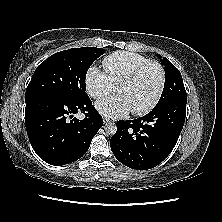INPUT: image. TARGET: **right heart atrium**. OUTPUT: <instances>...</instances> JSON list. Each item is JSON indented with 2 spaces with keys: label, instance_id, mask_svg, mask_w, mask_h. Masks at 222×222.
Returning <instances> with one entry per match:
<instances>
[{
  "label": "right heart atrium",
  "instance_id": "right-heart-atrium-1",
  "mask_svg": "<svg viewBox=\"0 0 222 222\" xmlns=\"http://www.w3.org/2000/svg\"><path fill=\"white\" fill-rule=\"evenodd\" d=\"M85 85L88 94L94 99H101L116 90V86L107 73L97 67L89 68L85 77Z\"/></svg>",
  "mask_w": 222,
  "mask_h": 222
}]
</instances>
